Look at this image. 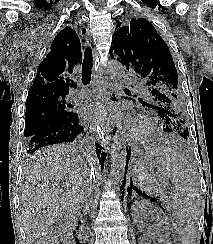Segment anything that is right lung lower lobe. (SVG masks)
Masks as SVG:
<instances>
[{
  "label": "right lung lower lobe",
  "mask_w": 213,
  "mask_h": 244,
  "mask_svg": "<svg viewBox=\"0 0 213 244\" xmlns=\"http://www.w3.org/2000/svg\"><path fill=\"white\" fill-rule=\"evenodd\" d=\"M83 131V126L79 125L78 114H74L71 118H65L54 124L46 127L45 129L37 132L35 135L27 139V153L31 154L41 147L72 142ZM96 153L100 158V162H103L105 154H101V148L96 143Z\"/></svg>",
  "instance_id": "obj_1"
}]
</instances>
